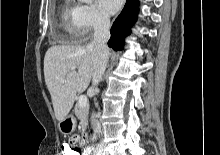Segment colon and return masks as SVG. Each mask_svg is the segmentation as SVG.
Wrapping results in <instances>:
<instances>
[{"label":"colon","mask_w":220,"mask_h":155,"mask_svg":"<svg viewBox=\"0 0 220 155\" xmlns=\"http://www.w3.org/2000/svg\"><path fill=\"white\" fill-rule=\"evenodd\" d=\"M87 145H62V154L63 155H80L81 150Z\"/></svg>","instance_id":"obj_1"}]
</instances>
